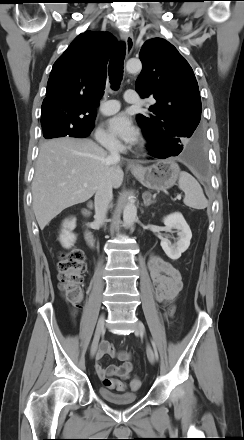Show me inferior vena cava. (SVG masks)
<instances>
[{"label": "inferior vena cava", "instance_id": "1", "mask_svg": "<svg viewBox=\"0 0 244 440\" xmlns=\"http://www.w3.org/2000/svg\"><path fill=\"white\" fill-rule=\"evenodd\" d=\"M106 148L109 151L110 162H117L120 160L118 147L115 143L111 142L106 144ZM112 199V183L109 179H103L95 194V223L97 225H102L104 223Z\"/></svg>", "mask_w": 244, "mask_h": 440}]
</instances>
